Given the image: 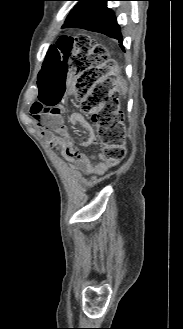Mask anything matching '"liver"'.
I'll return each mask as SVG.
<instances>
[{"label": "liver", "mask_w": 183, "mask_h": 329, "mask_svg": "<svg viewBox=\"0 0 183 329\" xmlns=\"http://www.w3.org/2000/svg\"><path fill=\"white\" fill-rule=\"evenodd\" d=\"M109 74L116 76V79L112 81V84L115 86L118 91H121L122 95H125L127 92V84L123 77L120 75V71L117 65L108 66Z\"/></svg>", "instance_id": "liver-1"}]
</instances>
